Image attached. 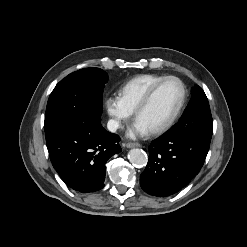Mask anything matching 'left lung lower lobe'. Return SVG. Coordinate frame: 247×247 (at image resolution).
<instances>
[{
  "mask_svg": "<svg viewBox=\"0 0 247 247\" xmlns=\"http://www.w3.org/2000/svg\"><path fill=\"white\" fill-rule=\"evenodd\" d=\"M211 138L167 131L149 146V160L140 185L159 197L172 195L196 176L204 164Z\"/></svg>",
  "mask_w": 247,
  "mask_h": 247,
  "instance_id": "obj_1",
  "label": "left lung lower lobe"
}]
</instances>
